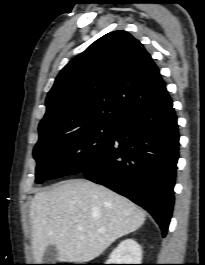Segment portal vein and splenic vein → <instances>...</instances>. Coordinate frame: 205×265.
Returning a JSON list of instances; mask_svg holds the SVG:
<instances>
[{"label": "portal vein and splenic vein", "instance_id": "1", "mask_svg": "<svg viewBox=\"0 0 205 265\" xmlns=\"http://www.w3.org/2000/svg\"><path fill=\"white\" fill-rule=\"evenodd\" d=\"M77 229H78L79 231H82V230H83V228H82V227H78Z\"/></svg>", "mask_w": 205, "mask_h": 265}]
</instances>
